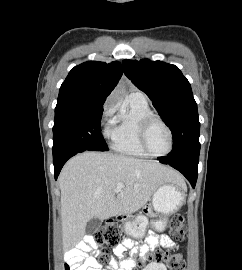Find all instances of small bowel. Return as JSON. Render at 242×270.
<instances>
[{
  "mask_svg": "<svg viewBox=\"0 0 242 270\" xmlns=\"http://www.w3.org/2000/svg\"><path fill=\"white\" fill-rule=\"evenodd\" d=\"M96 244L92 237L86 236L76 248L70 250L66 254V263H68L72 270H103L102 265L96 260L99 251L95 252V256H87V253L95 249ZM158 247L175 248V243L167 235H155L149 231L145 244L139 245L130 239H124L121 244L115 247L114 253L116 258L110 260V266L118 268V270H131L134 265V257L140 256L145 258L150 251H156ZM129 250L131 257L127 258L124 253ZM145 270H167L165 265L160 262H151L147 265Z\"/></svg>",
  "mask_w": 242,
  "mask_h": 270,
  "instance_id": "small-bowel-1",
  "label": "small bowel"
}]
</instances>
